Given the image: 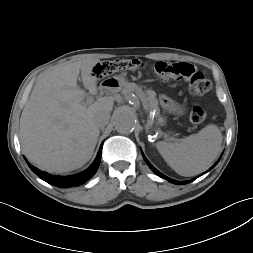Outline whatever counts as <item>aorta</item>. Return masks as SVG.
Masks as SVG:
<instances>
[{"label": "aorta", "mask_w": 253, "mask_h": 253, "mask_svg": "<svg viewBox=\"0 0 253 253\" xmlns=\"http://www.w3.org/2000/svg\"><path fill=\"white\" fill-rule=\"evenodd\" d=\"M136 125L135 113L127 108L119 109L115 114V129L120 133H130Z\"/></svg>", "instance_id": "obj_1"}]
</instances>
